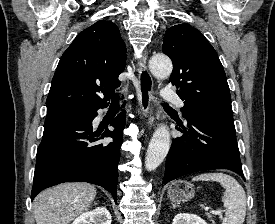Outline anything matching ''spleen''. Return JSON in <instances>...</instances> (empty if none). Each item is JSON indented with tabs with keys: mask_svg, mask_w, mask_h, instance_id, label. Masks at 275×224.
Wrapping results in <instances>:
<instances>
[{
	"mask_svg": "<svg viewBox=\"0 0 275 224\" xmlns=\"http://www.w3.org/2000/svg\"><path fill=\"white\" fill-rule=\"evenodd\" d=\"M192 181H216L225 189L222 202L225 217L222 224H243L246 216V195L236 179L224 173H202L194 176Z\"/></svg>",
	"mask_w": 275,
	"mask_h": 224,
	"instance_id": "obj_1",
	"label": "spleen"
}]
</instances>
